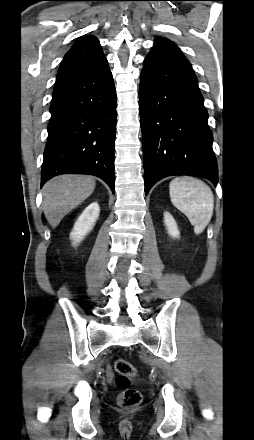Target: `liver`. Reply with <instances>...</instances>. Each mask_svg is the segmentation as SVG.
<instances>
[{
  "label": "liver",
  "instance_id": "liver-1",
  "mask_svg": "<svg viewBox=\"0 0 254 440\" xmlns=\"http://www.w3.org/2000/svg\"><path fill=\"white\" fill-rule=\"evenodd\" d=\"M95 180L86 175H60L43 187V209L55 228L63 217L86 200L95 189Z\"/></svg>",
  "mask_w": 254,
  "mask_h": 440
}]
</instances>
